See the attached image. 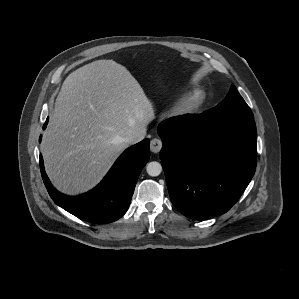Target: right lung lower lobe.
I'll return each instance as SVG.
<instances>
[{
  "instance_id": "obj_1",
  "label": "right lung lower lobe",
  "mask_w": 299,
  "mask_h": 299,
  "mask_svg": "<svg viewBox=\"0 0 299 299\" xmlns=\"http://www.w3.org/2000/svg\"><path fill=\"white\" fill-rule=\"evenodd\" d=\"M47 123L48 118L43 129ZM149 143V139H144L125 150L101 183L78 197L63 195L51 185L40 155L44 184L54 202L79 219L98 224L113 222L122 217L129 207L137 179L150 158Z\"/></svg>"
}]
</instances>
